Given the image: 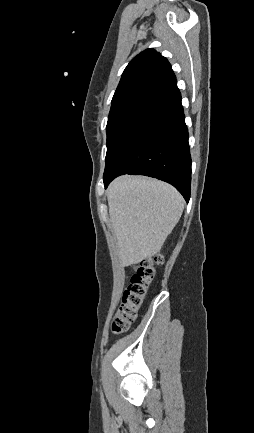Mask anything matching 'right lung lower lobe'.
<instances>
[{
	"instance_id": "1",
	"label": "right lung lower lobe",
	"mask_w": 254,
	"mask_h": 433,
	"mask_svg": "<svg viewBox=\"0 0 254 433\" xmlns=\"http://www.w3.org/2000/svg\"><path fill=\"white\" fill-rule=\"evenodd\" d=\"M122 174L168 182L189 201L191 156L176 79L146 101L124 125L106 162L105 188Z\"/></svg>"
}]
</instances>
